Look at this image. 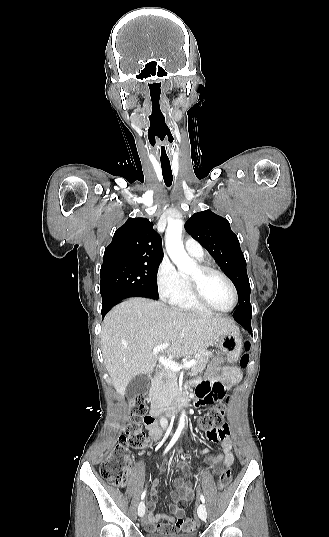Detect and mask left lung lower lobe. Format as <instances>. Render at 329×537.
Instances as JSON below:
<instances>
[{
  "label": "left lung lower lobe",
  "instance_id": "1",
  "mask_svg": "<svg viewBox=\"0 0 329 537\" xmlns=\"http://www.w3.org/2000/svg\"><path fill=\"white\" fill-rule=\"evenodd\" d=\"M239 323H241L245 329H247L250 333H252V329H251V318H252V314H247V315H239L237 317H234Z\"/></svg>",
  "mask_w": 329,
  "mask_h": 537
}]
</instances>
